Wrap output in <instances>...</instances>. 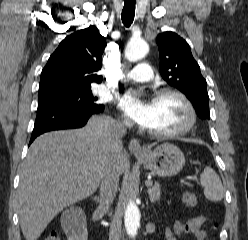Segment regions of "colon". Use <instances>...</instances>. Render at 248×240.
Returning <instances> with one entry per match:
<instances>
[{
    "label": "colon",
    "mask_w": 248,
    "mask_h": 240,
    "mask_svg": "<svg viewBox=\"0 0 248 240\" xmlns=\"http://www.w3.org/2000/svg\"><path fill=\"white\" fill-rule=\"evenodd\" d=\"M183 202L189 207L195 206L197 204L196 195L191 191H185L183 194ZM45 240H60V236L57 233H51Z\"/></svg>",
    "instance_id": "1"
}]
</instances>
